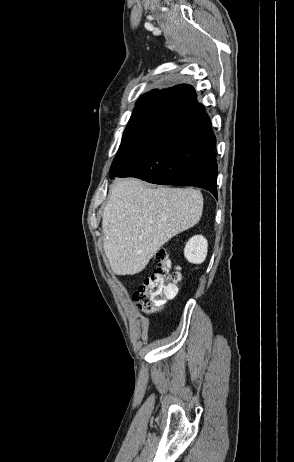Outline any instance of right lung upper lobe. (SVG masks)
<instances>
[{
  "mask_svg": "<svg viewBox=\"0 0 294 462\" xmlns=\"http://www.w3.org/2000/svg\"><path fill=\"white\" fill-rule=\"evenodd\" d=\"M191 91H194V89L191 86L186 85V84L177 85L172 88L165 89V90L155 89V90H152L142 95L139 98V100L136 102V106L145 104V103H148V102L160 99V98L170 97V96H175L183 100H189V95Z\"/></svg>",
  "mask_w": 294,
  "mask_h": 462,
  "instance_id": "obj_1",
  "label": "right lung upper lobe"
}]
</instances>
